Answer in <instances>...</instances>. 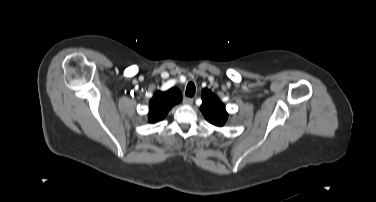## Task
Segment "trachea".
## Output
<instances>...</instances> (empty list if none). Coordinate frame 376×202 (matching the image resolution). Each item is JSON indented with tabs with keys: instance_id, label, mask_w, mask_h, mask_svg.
<instances>
[{
	"instance_id": "3493384b",
	"label": "trachea",
	"mask_w": 376,
	"mask_h": 202,
	"mask_svg": "<svg viewBox=\"0 0 376 202\" xmlns=\"http://www.w3.org/2000/svg\"><path fill=\"white\" fill-rule=\"evenodd\" d=\"M195 90H196V88H195L194 83L189 82L188 85H187V88H186V92H185L186 96L193 97L194 94H195Z\"/></svg>"
}]
</instances>
